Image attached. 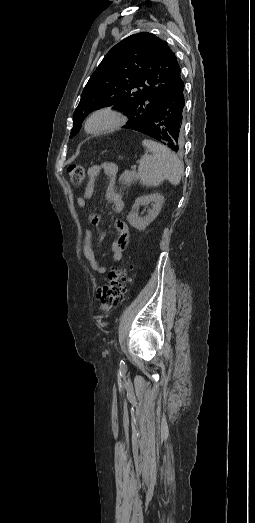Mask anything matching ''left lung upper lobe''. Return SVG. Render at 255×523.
<instances>
[{
  "mask_svg": "<svg viewBox=\"0 0 255 523\" xmlns=\"http://www.w3.org/2000/svg\"><path fill=\"white\" fill-rule=\"evenodd\" d=\"M180 73L175 53L165 41L149 32L125 38L106 54L86 84L73 114L70 138L90 112L112 104L130 113L132 122L124 128L144 125L168 92L178 84L184 86Z\"/></svg>",
  "mask_w": 255,
  "mask_h": 523,
  "instance_id": "left-lung-upper-lobe-1",
  "label": "left lung upper lobe"
}]
</instances>
